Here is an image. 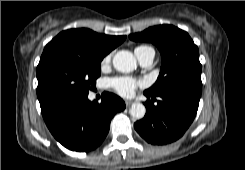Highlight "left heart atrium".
Returning <instances> with one entry per match:
<instances>
[{"instance_id": "1", "label": "left heart atrium", "mask_w": 245, "mask_h": 170, "mask_svg": "<svg viewBox=\"0 0 245 170\" xmlns=\"http://www.w3.org/2000/svg\"><path fill=\"white\" fill-rule=\"evenodd\" d=\"M111 86L122 96H131L138 86H143L144 82L136 81L130 77H116L110 80Z\"/></svg>"}]
</instances>
